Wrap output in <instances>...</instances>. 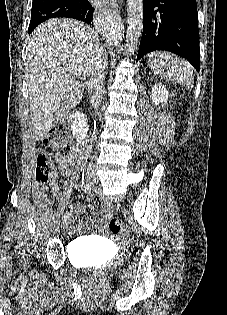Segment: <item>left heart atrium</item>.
Here are the masks:
<instances>
[{"label": "left heart atrium", "instance_id": "left-heart-atrium-1", "mask_svg": "<svg viewBox=\"0 0 227 315\" xmlns=\"http://www.w3.org/2000/svg\"><path fill=\"white\" fill-rule=\"evenodd\" d=\"M97 4H105L108 5L109 3H111L114 0H94Z\"/></svg>", "mask_w": 227, "mask_h": 315}]
</instances>
